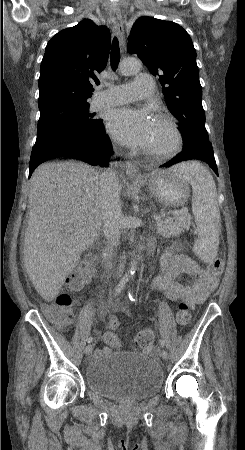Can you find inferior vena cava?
I'll list each match as a JSON object with an SVG mask.
<instances>
[{
	"instance_id": "inferior-vena-cava-1",
	"label": "inferior vena cava",
	"mask_w": 245,
	"mask_h": 450,
	"mask_svg": "<svg viewBox=\"0 0 245 450\" xmlns=\"http://www.w3.org/2000/svg\"><path fill=\"white\" fill-rule=\"evenodd\" d=\"M99 187V199L104 222L103 232L112 245L118 246L123 216L118 177L113 168L106 169L101 173Z\"/></svg>"
}]
</instances>
